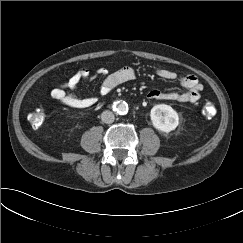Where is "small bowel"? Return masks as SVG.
<instances>
[{"instance_id": "obj_1", "label": "small bowel", "mask_w": 243, "mask_h": 243, "mask_svg": "<svg viewBox=\"0 0 243 243\" xmlns=\"http://www.w3.org/2000/svg\"><path fill=\"white\" fill-rule=\"evenodd\" d=\"M135 75V70L129 66L122 67L113 72H108L104 68H99L93 73H91L87 68H82L60 87L53 89L51 91V97L71 108H89L96 104L97 98H84L74 93L81 81L94 80L97 77H102L103 80L99 89V94L106 97L118 85L133 80ZM157 75L165 80H175L178 78L177 73L169 69H159L157 71ZM179 81L181 85L186 88L185 92H164L158 89H153L148 93V98L158 101L172 100L179 103H195L198 101L201 96L203 86L198 81L197 77L192 74H184L179 76Z\"/></svg>"}]
</instances>
